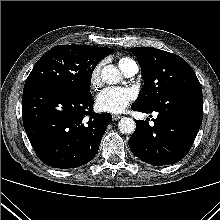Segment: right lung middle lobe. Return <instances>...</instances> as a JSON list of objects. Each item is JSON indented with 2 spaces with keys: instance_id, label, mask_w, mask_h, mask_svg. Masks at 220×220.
<instances>
[{
  "instance_id": "obj_1",
  "label": "right lung middle lobe",
  "mask_w": 220,
  "mask_h": 220,
  "mask_svg": "<svg viewBox=\"0 0 220 220\" xmlns=\"http://www.w3.org/2000/svg\"><path fill=\"white\" fill-rule=\"evenodd\" d=\"M103 57L89 46L59 45L35 64L24 87L52 86L76 93H89L93 70Z\"/></svg>"
}]
</instances>
